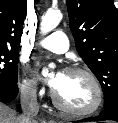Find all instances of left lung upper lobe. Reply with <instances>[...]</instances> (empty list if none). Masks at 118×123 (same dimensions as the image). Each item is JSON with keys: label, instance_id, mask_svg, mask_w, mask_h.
Segmentation results:
<instances>
[{"label": "left lung upper lobe", "instance_id": "1", "mask_svg": "<svg viewBox=\"0 0 118 123\" xmlns=\"http://www.w3.org/2000/svg\"><path fill=\"white\" fill-rule=\"evenodd\" d=\"M67 9L77 51L110 108L118 104V10L113 0H67Z\"/></svg>", "mask_w": 118, "mask_h": 123}]
</instances>
